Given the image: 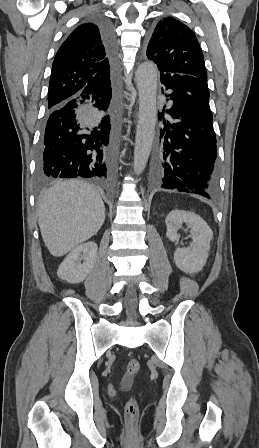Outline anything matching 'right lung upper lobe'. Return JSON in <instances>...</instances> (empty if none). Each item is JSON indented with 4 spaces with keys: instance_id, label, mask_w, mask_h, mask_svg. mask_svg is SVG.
Here are the masks:
<instances>
[{
    "instance_id": "cb5924a9",
    "label": "right lung upper lobe",
    "mask_w": 259,
    "mask_h": 448,
    "mask_svg": "<svg viewBox=\"0 0 259 448\" xmlns=\"http://www.w3.org/2000/svg\"><path fill=\"white\" fill-rule=\"evenodd\" d=\"M103 43L94 23H83L71 32L54 57L47 108L81 94L102 91L111 84Z\"/></svg>"
}]
</instances>
